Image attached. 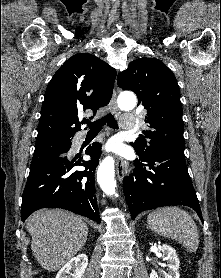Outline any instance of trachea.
<instances>
[{
	"label": "trachea",
	"instance_id": "obj_1",
	"mask_svg": "<svg viewBox=\"0 0 221 278\" xmlns=\"http://www.w3.org/2000/svg\"><path fill=\"white\" fill-rule=\"evenodd\" d=\"M90 131H100L102 126L107 124L109 127L113 128V129H117L118 128V124L116 119L114 118V116L112 115V113H108L107 115H105L104 117H102L101 119L94 121V122H89L86 121Z\"/></svg>",
	"mask_w": 221,
	"mask_h": 278
}]
</instances>
